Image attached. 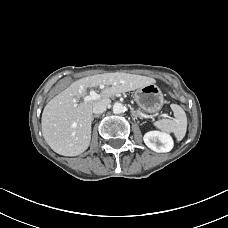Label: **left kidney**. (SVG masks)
Here are the masks:
<instances>
[{
	"label": "left kidney",
	"mask_w": 228,
	"mask_h": 228,
	"mask_svg": "<svg viewBox=\"0 0 228 228\" xmlns=\"http://www.w3.org/2000/svg\"><path fill=\"white\" fill-rule=\"evenodd\" d=\"M143 140L148 148L158 153L169 152L174 145L173 139L169 134L159 131L147 132Z\"/></svg>",
	"instance_id": "5707ae66"
}]
</instances>
